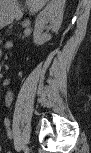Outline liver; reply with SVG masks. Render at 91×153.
Instances as JSON below:
<instances>
[{"instance_id": "1", "label": "liver", "mask_w": 91, "mask_h": 153, "mask_svg": "<svg viewBox=\"0 0 91 153\" xmlns=\"http://www.w3.org/2000/svg\"><path fill=\"white\" fill-rule=\"evenodd\" d=\"M47 2V0H27V3L30 5V11L35 13L39 11Z\"/></svg>"}]
</instances>
